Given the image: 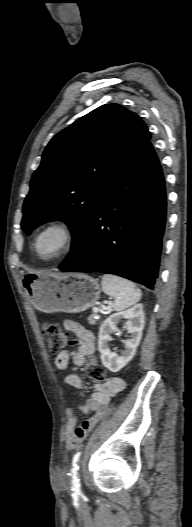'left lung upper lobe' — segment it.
Wrapping results in <instances>:
<instances>
[{
  "label": "left lung upper lobe",
  "mask_w": 192,
  "mask_h": 527,
  "mask_svg": "<svg viewBox=\"0 0 192 527\" xmlns=\"http://www.w3.org/2000/svg\"><path fill=\"white\" fill-rule=\"evenodd\" d=\"M140 117L105 104L55 135L31 179L23 205L27 233L52 220L67 222L72 247L113 181L150 142Z\"/></svg>",
  "instance_id": "5c2ea615"
}]
</instances>
